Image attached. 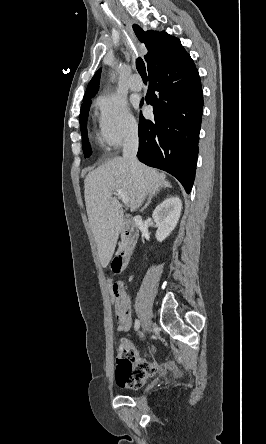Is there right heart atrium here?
<instances>
[{
  "label": "right heart atrium",
  "mask_w": 266,
  "mask_h": 444,
  "mask_svg": "<svg viewBox=\"0 0 266 444\" xmlns=\"http://www.w3.org/2000/svg\"><path fill=\"white\" fill-rule=\"evenodd\" d=\"M99 109V127L104 142L113 149L134 138L138 124L127 104L112 94H104L96 100Z\"/></svg>",
  "instance_id": "1"
}]
</instances>
